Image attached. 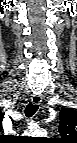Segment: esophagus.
I'll return each mask as SVG.
<instances>
[{
	"label": "esophagus",
	"mask_w": 77,
	"mask_h": 143,
	"mask_svg": "<svg viewBox=\"0 0 77 143\" xmlns=\"http://www.w3.org/2000/svg\"><path fill=\"white\" fill-rule=\"evenodd\" d=\"M41 97L38 95L31 96V102L35 105H39L41 103Z\"/></svg>",
	"instance_id": "obj_1"
}]
</instances>
